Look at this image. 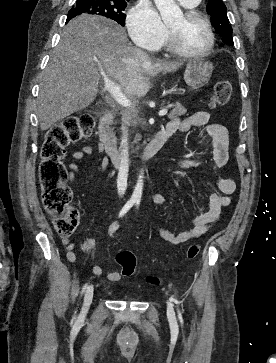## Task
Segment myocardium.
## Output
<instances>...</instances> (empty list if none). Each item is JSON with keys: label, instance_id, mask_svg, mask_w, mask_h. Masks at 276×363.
Instances as JSON below:
<instances>
[{"label": "myocardium", "instance_id": "f54148a6", "mask_svg": "<svg viewBox=\"0 0 276 363\" xmlns=\"http://www.w3.org/2000/svg\"><path fill=\"white\" fill-rule=\"evenodd\" d=\"M184 17L186 20L188 21H201L204 23L207 33H208V45L207 47L201 51V52H191L187 49H185L178 41L174 31L172 29H170V47L172 49V51L182 57L185 58H189V59H203L205 57H207L208 55L211 54V52L214 49L215 46V36H214V32L212 29V25L210 20L201 12L197 11V10H189L187 12L184 13Z\"/></svg>", "mask_w": 276, "mask_h": 363}]
</instances>
